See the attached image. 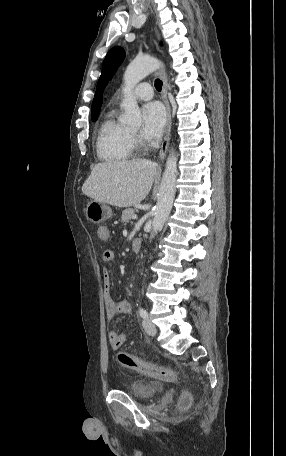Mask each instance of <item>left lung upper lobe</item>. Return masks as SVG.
Here are the masks:
<instances>
[{
	"mask_svg": "<svg viewBox=\"0 0 286 456\" xmlns=\"http://www.w3.org/2000/svg\"><path fill=\"white\" fill-rule=\"evenodd\" d=\"M125 57V52L121 47H113L106 55L103 66L102 73L99 78L95 97L92 102V121H96L100 112V107L102 105V93L106 83L112 78L113 74L117 68L122 63Z\"/></svg>",
	"mask_w": 286,
	"mask_h": 456,
	"instance_id": "1",
	"label": "left lung upper lobe"
}]
</instances>
